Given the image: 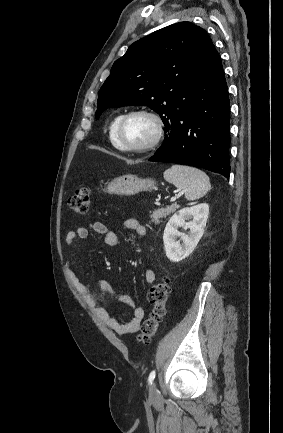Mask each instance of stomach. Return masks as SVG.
Returning a JSON list of instances; mask_svg holds the SVG:
<instances>
[{"label": "stomach", "instance_id": "obj_1", "mask_svg": "<svg viewBox=\"0 0 283 433\" xmlns=\"http://www.w3.org/2000/svg\"><path fill=\"white\" fill-rule=\"evenodd\" d=\"M153 178H138L136 174H123L108 182L104 192L110 194H136L140 190H152L156 188Z\"/></svg>", "mask_w": 283, "mask_h": 433}]
</instances>
